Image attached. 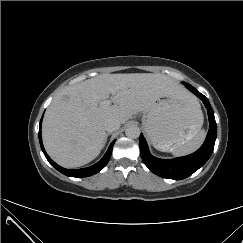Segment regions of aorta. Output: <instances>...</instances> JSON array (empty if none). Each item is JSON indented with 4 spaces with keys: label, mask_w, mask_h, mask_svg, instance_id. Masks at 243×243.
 Masks as SVG:
<instances>
[{
    "label": "aorta",
    "mask_w": 243,
    "mask_h": 243,
    "mask_svg": "<svg viewBox=\"0 0 243 243\" xmlns=\"http://www.w3.org/2000/svg\"><path fill=\"white\" fill-rule=\"evenodd\" d=\"M125 134L129 138L136 139L140 136V129L136 125H131L126 128Z\"/></svg>",
    "instance_id": "obj_1"
}]
</instances>
